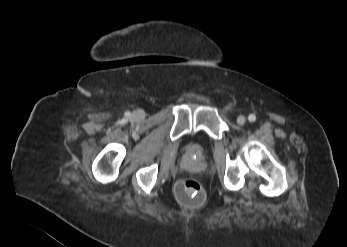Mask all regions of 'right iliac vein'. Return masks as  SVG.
Segmentation results:
<instances>
[{"mask_svg": "<svg viewBox=\"0 0 347 247\" xmlns=\"http://www.w3.org/2000/svg\"><path fill=\"white\" fill-rule=\"evenodd\" d=\"M134 118L140 119L144 116V112L142 110H138L133 114Z\"/></svg>", "mask_w": 347, "mask_h": 247, "instance_id": "1", "label": "right iliac vein"}]
</instances>
